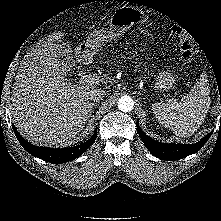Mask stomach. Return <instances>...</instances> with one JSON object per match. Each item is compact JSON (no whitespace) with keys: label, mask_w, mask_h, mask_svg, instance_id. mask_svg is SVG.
<instances>
[{"label":"stomach","mask_w":221,"mask_h":221,"mask_svg":"<svg viewBox=\"0 0 221 221\" xmlns=\"http://www.w3.org/2000/svg\"><path fill=\"white\" fill-rule=\"evenodd\" d=\"M147 16L141 10L122 6L117 8L110 17L109 27L106 30H94L91 32L86 42L80 45L79 51L91 57L94 52L103 44L113 39L119 38L138 22L147 21ZM175 83L173 75L168 71H162L156 77L155 87L160 91L170 90Z\"/></svg>","instance_id":"stomach-1"}]
</instances>
